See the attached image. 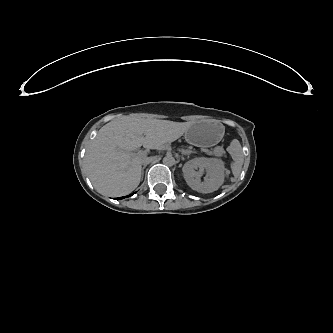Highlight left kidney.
<instances>
[{
  "instance_id": "obj_1",
  "label": "left kidney",
  "mask_w": 333,
  "mask_h": 333,
  "mask_svg": "<svg viewBox=\"0 0 333 333\" xmlns=\"http://www.w3.org/2000/svg\"><path fill=\"white\" fill-rule=\"evenodd\" d=\"M182 171L188 186L200 193H211L218 190L225 179L224 162L218 158L191 159L184 164ZM205 173L204 180L201 181V177Z\"/></svg>"
}]
</instances>
